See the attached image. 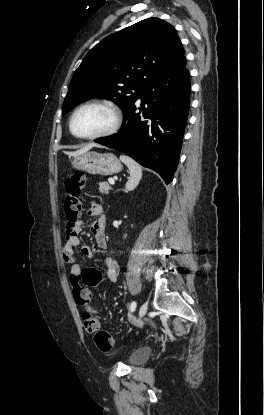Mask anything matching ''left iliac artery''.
I'll use <instances>...</instances> for the list:
<instances>
[{
  "instance_id": "left-iliac-artery-1",
  "label": "left iliac artery",
  "mask_w": 264,
  "mask_h": 415,
  "mask_svg": "<svg viewBox=\"0 0 264 415\" xmlns=\"http://www.w3.org/2000/svg\"><path fill=\"white\" fill-rule=\"evenodd\" d=\"M135 308H136V302H135V301H133V302L130 304V310H131V312H133V311L135 310Z\"/></svg>"
}]
</instances>
